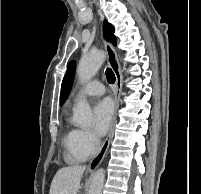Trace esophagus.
Masks as SVG:
<instances>
[{
    "label": "esophagus",
    "instance_id": "obj_1",
    "mask_svg": "<svg viewBox=\"0 0 201 194\" xmlns=\"http://www.w3.org/2000/svg\"><path fill=\"white\" fill-rule=\"evenodd\" d=\"M103 42H104V47H105V50L107 53V63L115 74V88H114L115 112H114V116H113V120L111 123V127L109 130L108 136L106 137L104 143L102 144L99 152L90 161V163L88 165L89 170H94L100 165V163L104 159L105 154L108 150V147H109L112 135H113V131H114V126L116 123L117 110L119 108L120 96H121V91H122L123 76H122L120 64L118 62L116 51L111 43H109L105 40Z\"/></svg>",
    "mask_w": 201,
    "mask_h": 194
}]
</instances>
